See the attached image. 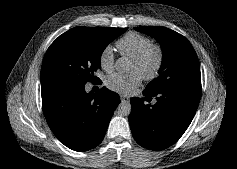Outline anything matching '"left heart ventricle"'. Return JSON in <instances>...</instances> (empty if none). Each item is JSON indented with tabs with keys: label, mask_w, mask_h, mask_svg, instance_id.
Listing matches in <instances>:
<instances>
[{
	"label": "left heart ventricle",
	"mask_w": 237,
	"mask_h": 169,
	"mask_svg": "<svg viewBox=\"0 0 237 169\" xmlns=\"http://www.w3.org/2000/svg\"><path fill=\"white\" fill-rule=\"evenodd\" d=\"M154 62H155L154 54L150 55L144 64H140L135 60H132L130 65V71H136L140 75H142L146 70H149L154 65Z\"/></svg>",
	"instance_id": "left-heart-ventricle-1"
}]
</instances>
